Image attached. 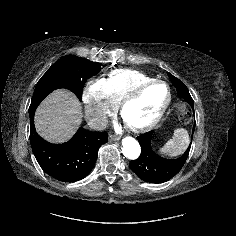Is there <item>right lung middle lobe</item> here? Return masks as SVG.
I'll use <instances>...</instances> for the list:
<instances>
[{"label":"right lung middle lobe","mask_w":236,"mask_h":236,"mask_svg":"<svg viewBox=\"0 0 236 236\" xmlns=\"http://www.w3.org/2000/svg\"><path fill=\"white\" fill-rule=\"evenodd\" d=\"M100 70V63L72 55L61 57L38 81L29 110L37 107L49 93L59 88L69 89L81 100L85 82Z\"/></svg>","instance_id":"right-lung-middle-lobe-1"}]
</instances>
